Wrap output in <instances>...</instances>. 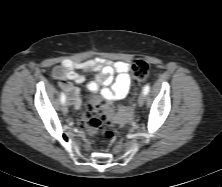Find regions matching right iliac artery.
<instances>
[{"label": "right iliac artery", "instance_id": "right-iliac-artery-1", "mask_svg": "<svg viewBox=\"0 0 222 187\" xmlns=\"http://www.w3.org/2000/svg\"><path fill=\"white\" fill-rule=\"evenodd\" d=\"M60 100H61V103H62V104H64L65 101H66V95H65L63 92H61Z\"/></svg>", "mask_w": 222, "mask_h": 187}]
</instances>
